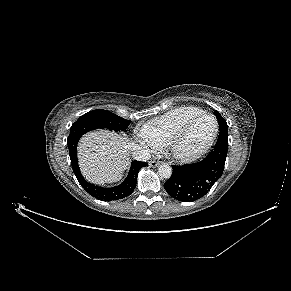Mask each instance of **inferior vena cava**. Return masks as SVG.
<instances>
[{
	"label": "inferior vena cava",
	"instance_id": "inferior-vena-cava-1",
	"mask_svg": "<svg viewBox=\"0 0 291 291\" xmlns=\"http://www.w3.org/2000/svg\"><path fill=\"white\" fill-rule=\"evenodd\" d=\"M129 150L132 157L136 160L147 161L150 159V151L146 147L139 146L135 143H130Z\"/></svg>",
	"mask_w": 291,
	"mask_h": 291
}]
</instances>
